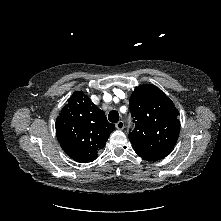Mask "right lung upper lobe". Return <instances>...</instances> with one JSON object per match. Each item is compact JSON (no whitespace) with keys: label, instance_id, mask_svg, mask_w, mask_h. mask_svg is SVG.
Returning a JSON list of instances; mask_svg holds the SVG:
<instances>
[{"label":"right lung upper lobe","instance_id":"cb5924a9","mask_svg":"<svg viewBox=\"0 0 221 221\" xmlns=\"http://www.w3.org/2000/svg\"><path fill=\"white\" fill-rule=\"evenodd\" d=\"M115 129L100 110L82 91L67 100L56 120V135L60 146L73 160L94 161L98 151Z\"/></svg>","mask_w":221,"mask_h":221}]
</instances>
